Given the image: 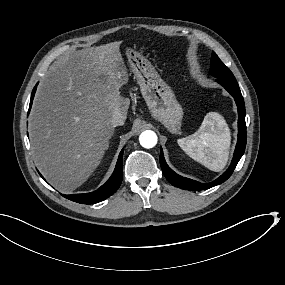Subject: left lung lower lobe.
<instances>
[{"label":"left lung lower lobe","instance_id":"0a47b994","mask_svg":"<svg viewBox=\"0 0 285 285\" xmlns=\"http://www.w3.org/2000/svg\"><path fill=\"white\" fill-rule=\"evenodd\" d=\"M218 83H220L235 99L237 107H238V113H239V119H238V141L236 145V149L234 152L233 160L231 162V165L229 168L224 172L219 178L216 180L210 182V183H200L195 180L182 177L175 173L173 170L169 168V166L166 164L163 151L161 149L160 153V165L161 169L163 171L164 176L167 178V180L175 187L185 189V190H192V191H198V190H205L209 189L211 187H214L216 185H219L226 181L233 173L237 163L241 159L242 155L244 154L245 147H246V140H247V133H246V123H245V105H244V99L242 97L240 88L237 84L236 79L234 80H216Z\"/></svg>","mask_w":285,"mask_h":285}]
</instances>
